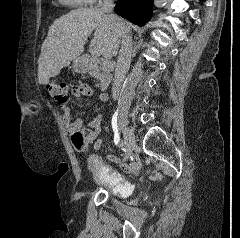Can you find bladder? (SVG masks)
<instances>
[{"instance_id":"1","label":"bladder","mask_w":240,"mask_h":238,"mask_svg":"<svg viewBox=\"0 0 240 238\" xmlns=\"http://www.w3.org/2000/svg\"><path fill=\"white\" fill-rule=\"evenodd\" d=\"M88 167L98 184L105 186L111 194L116 196L128 195L129 183L121 175L108 172L96 156L89 157Z\"/></svg>"}]
</instances>
